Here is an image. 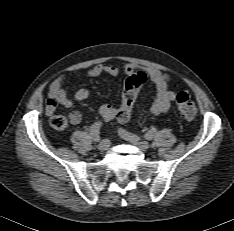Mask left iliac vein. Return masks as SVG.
Wrapping results in <instances>:
<instances>
[{"mask_svg": "<svg viewBox=\"0 0 234 231\" xmlns=\"http://www.w3.org/2000/svg\"><path fill=\"white\" fill-rule=\"evenodd\" d=\"M136 147L142 151H147L150 148V145L146 141H140L138 138L130 140Z\"/></svg>", "mask_w": 234, "mask_h": 231, "instance_id": "left-iliac-vein-1", "label": "left iliac vein"}]
</instances>
